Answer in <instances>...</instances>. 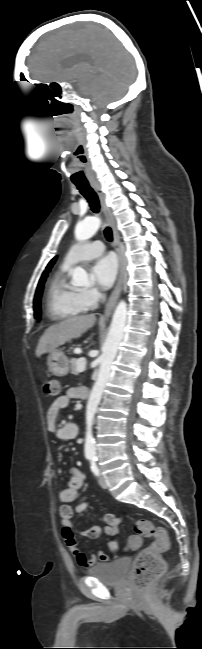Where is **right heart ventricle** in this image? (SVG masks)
I'll list each match as a JSON object with an SVG mask.
<instances>
[{"mask_svg":"<svg viewBox=\"0 0 202 649\" xmlns=\"http://www.w3.org/2000/svg\"><path fill=\"white\" fill-rule=\"evenodd\" d=\"M69 264H62L50 279L46 308L48 315L54 320H63L83 313L87 307L82 302L81 291L68 280Z\"/></svg>","mask_w":202,"mask_h":649,"instance_id":"obj_1","label":"right heart ventricle"}]
</instances>
